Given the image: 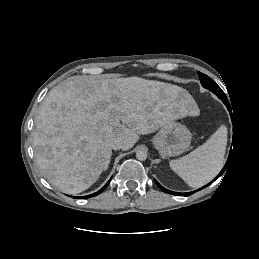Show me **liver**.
<instances>
[{"mask_svg":"<svg viewBox=\"0 0 259 259\" xmlns=\"http://www.w3.org/2000/svg\"><path fill=\"white\" fill-rule=\"evenodd\" d=\"M198 114L194 99L172 84L75 76L42 102L33 133L35 157L50 184L65 193H81L108 168L113 140L129 150L139 135Z\"/></svg>","mask_w":259,"mask_h":259,"instance_id":"1","label":"liver"}]
</instances>
